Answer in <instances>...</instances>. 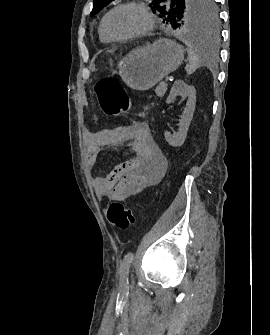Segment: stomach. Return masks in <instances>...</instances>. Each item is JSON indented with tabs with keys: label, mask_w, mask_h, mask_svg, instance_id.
I'll list each match as a JSON object with an SVG mask.
<instances>
[{
	"label": "stomach",
	"mask_w": 270,
	"mask_h": 335,
	"mask_svg": "<svg viewBox=\"0 0 270 335\" xmlns=\"http://www.w3.org/2000/svg\"><path fill=\"white\" fill-rule=\"evenodd\" d=\"M183 58V46L175 40L159 38L123 56L118 62L119 76L132 90L144 92L177 70Z\"/></svg>",
	"instance_id": "1"
}]
</instances>
